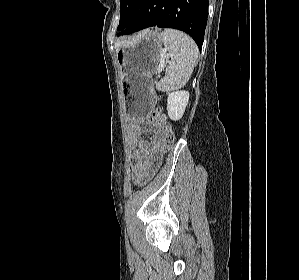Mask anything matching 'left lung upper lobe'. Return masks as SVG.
Masks as SVG:
<instances>
[{"instance_id":"left-lung-upper-lobe-1","label":"left lung upper lobe","mask_w":299,"mask_h":280,"mask_svg":"<svg viewBox=\"0 0 299 280\" xmlns=\"http://www.w3.org/2000/svg\"><path fill=\"white\" fill-rule=\"evenodd\" d=\"M137 1L138 0H120L121 7L118 30L123 31L131 23ZM120 33L117 35L119 36Z\"/></svg>"}]
</instances>
